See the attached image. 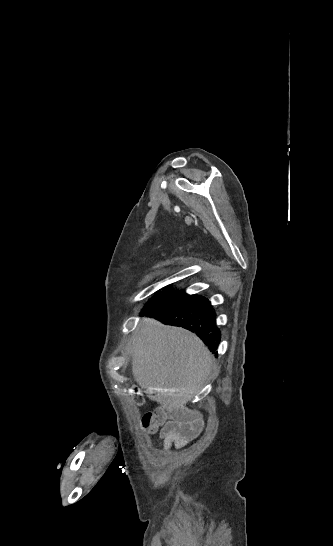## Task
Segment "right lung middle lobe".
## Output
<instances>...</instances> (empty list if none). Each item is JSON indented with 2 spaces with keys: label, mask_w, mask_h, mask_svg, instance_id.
<instances>
[{
  "label": "right lung middle lobe",
  "mask_w": 333,
  "mask_h": 546,
  "mask_svg": "<svg viewBox=\"0 0 333 546\" xmlns=\"http://www.w3.org/2000/svg\"><path fill=\"white\" fill-rule=\"evenodd\" d=\"M187 296V294L184 291H168L163 293L161 296L157 295L154 298H152L147 305L144 307L143 311L151 310L163 303L174 301L180 297Z\"/></svg>",
  "instance_id": "1"
}]
</instances>
